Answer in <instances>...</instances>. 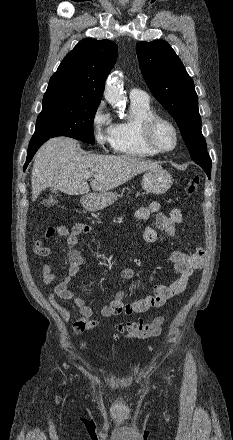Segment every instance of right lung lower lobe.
<instances>
[{"instance_id":"1","label":"right lung lower lobe","mask_w":233,"mask_h":440,"mask_svg":"<svg viewBox=\"0 0 233 440\" xmlns=\"http://www.w3.org/2000/svg\"><path fill=\"white\" fill-rule=\"evenodd\" d=\"M47 140L48 139H34V138L31 139L30 144H29V148H28L26 163L24 165V170L27 167L28 163L33 158V156L36 153V151L38 150V148Z\"/></svg>"}]
</instances>
